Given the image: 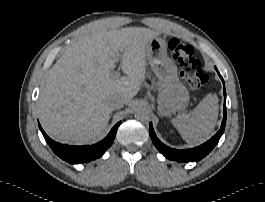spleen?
Here are the masks:
<instances>
[{
    "label": "spleen",
    "instance_id": "obj_1",
    "mask_svg": "<svg viewBox=\"0 0 265 202\" xmlns=\"http://www.w3.org/2000/svg\"><path fill=\"white\" fill-rule=\"evenodd\" d=\"M218 117V100L208 94L188 114L178 115L171 120L173 126L187 143H203L212 134Z\"/></svg>",
    "mask_w": 265,
    "mask_h": 202
}]
</instances>
